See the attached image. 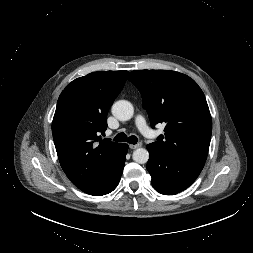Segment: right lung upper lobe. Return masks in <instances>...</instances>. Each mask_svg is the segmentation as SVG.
<instances>
[{
	"label": "right lung upper lobe",
	"mask_w": 253,
	"mask_h": 253,
	"mask_svg": "<svg viewBox=\"0 0 253 253\" xmlns=\"http://www.w3.org/2000/svg\"><path fill=\"white\" fill-rule=\"evenodd\" d=\"M128 71H99L69 83L59 96L52 134L61 167L80 190L105 172L122 143L101 139L107 113Z\"/></svg>",
	"instance_id": "obj_1"
}]
</instances>
